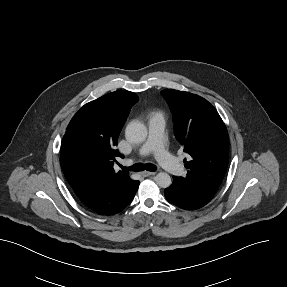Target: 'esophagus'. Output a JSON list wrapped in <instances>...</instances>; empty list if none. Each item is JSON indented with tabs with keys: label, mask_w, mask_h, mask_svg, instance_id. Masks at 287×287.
<instances>
[{
	"label": "esophagus",
	"mask_w": 287,
	"mask_h": 287,
	"mask_svg": "<svg viewBox=\"0 0 287 287\" xmlns=\"http://www.w3.org/2000/svg\"><path fill=\"white\" fill-rule=\"evenodd\" d=\"M141 174H142V176L147 177V176L155 175L156 172L144 171Z\"/></svg>",
	"instance_id": "obj_1"
}]
</instances>
